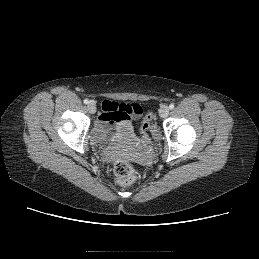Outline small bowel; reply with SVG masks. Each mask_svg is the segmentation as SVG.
Masks as SVG:
<instances>
[{
    "instance_id": "obj_1",
    "label": "small bowel",
    "mask_w": 259,
    "mask_h": 259,
    "mask_svg": "<svg viewBox=\"0 0 259 259\" xmlns=\"http://www.w3.org/2000/svg\"><path fill=\"white\" fill-rule=\"evenodd\" d=\"M142 107L137 103L119 104L115 101L102 102V112L98 116L97 131L106 135L114 128L128 134L132 129V121L139 120Z\"/></svg>"
}]
</instances>
